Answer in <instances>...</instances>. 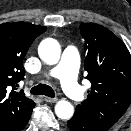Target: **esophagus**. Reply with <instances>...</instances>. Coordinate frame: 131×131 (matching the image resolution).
Listing matches in <instances>:
<instances>
[{
	"label": "esophagus",
	"instance_id": "1",
	"mask_svg": "<svg viewBox=\"0 0 131 131\" xmlns=\"http://www.w3.org/2000/svg\"><path fill=\"white\" fill-rule=\"evenodd\" d=\"M58 100V98L57 97H55V98H51V97H44V101L45 102H48V103H54V102H56Z\"/></svg>",
	"mask_w": 131,
	"mask_h": 131
}]
</instances>
